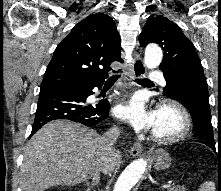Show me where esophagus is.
Listing matches in <instances>:
<instances>
[{"instance_id": "34e87169", "label": "esophagus", "mask_w": 221, "mask_h": 191, "mask_svg": "<svg viewBox=\"0 0 221 191\" xmlns=\"http://www.w3.org/2000/svg\"><path fill=\"white\" fill-rule=\"evenodd\" d=\"M145 74H146V69L143 58L140 54L135 53V58L132 63L130 76L132 79H141L145 76ZM142 152H143V145L140 142H136L131 149V155L134 157L140 156Z\"/></svg>"}]
</instances>
